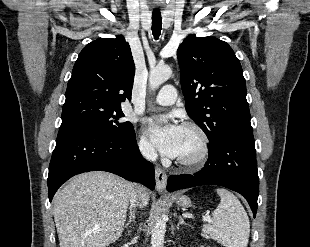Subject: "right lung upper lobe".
I'll return each mask as SVG.
<instances>
[{"instance_id":"cb5924a9","label":"right lung upper lobe","mask_w":310,"mask_h":247,"mask_svg":"<svg viewBox=\"0 0 310 247\" xmlns=\"http://www.w3.org/2000/svg\"><path fill=\"white\" fill-rule=\"evenodd\" d=\"M135 66L123 36L87 44L68 81L63 110L76 106L121 108L131 99Z\"/></svg>"}]
</instances>
